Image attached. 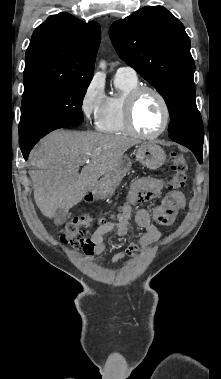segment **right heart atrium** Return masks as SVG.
Here are the masks:
<instances>
[{"label": "right heart atrium", "instance_id": "1", "mask_svg": "<svg viewBox=\"0 0 221 379\" xmlns=\"http://www.w3.org/2000/svg\"><path fill=\"white\" fill-rule=\"evenodd\" d=\"M107 101V96L101 82L93 78L87 84L80 102V108L84 117L93 122L100 118Z\"/></svg>", "mask_w": 221, "mask_h": 379}]
</instances>
